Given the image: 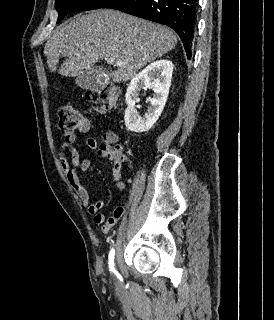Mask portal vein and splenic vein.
I'll use <instances>...</instances> for the list:
<instances>
[{
	"label": "portal vein and splenic vein",
	"instance_id": "18ae733b",
	"mask_svg": "<svg viewBox=\"0 0 274 320\" xmlns=\"http://www.w3.org/2000/svg\"><path fill=\"white\" fill-rule=\"evenodd\" d=\"M106 62H108V64H116V66H123V62H115L113 58H106Z\"/></svg>",
	"mask_w": 274,
	"mask_h": 320
}]
</instances>
